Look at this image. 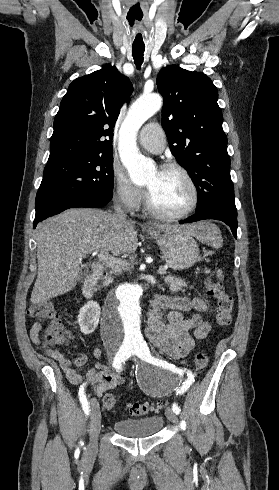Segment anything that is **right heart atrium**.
<instances>
[{"mask_svg":"<svg viewBox=\"0 0 279 490\" xmlns=\"http://www.w3.org/2000/svg\"><path fill=\"white\" fill-rule=\"evenodd\" d=\"M111 186L117 201L131 212L138 211L143 204L146 193L135 185L117 164L111 168Z\"/></svg>","mask_w":279,"mask_h":490,"instance_id":"right-heart-atrium-1","label":"right heart atrium"}]
</instances>
